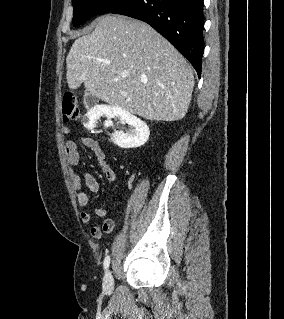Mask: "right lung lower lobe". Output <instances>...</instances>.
Instances as JSON below:
<instances>
[{"label": "right lung lower lobe", "mask_w": 284, "mask_h": 319, "mask_svg": "<svg viewBox=\"0 0 284 319\" xmlns=\"http://www.w3.org/2000/svg\"><path fill=\"white\" fill-rule=\"evenodd\" d=\"M111 13L151 25L189 60L201 76L203 0H129Z\"/></svg>", "instance_id": "right-lung-lower-lobe-1"}]
</instances>
